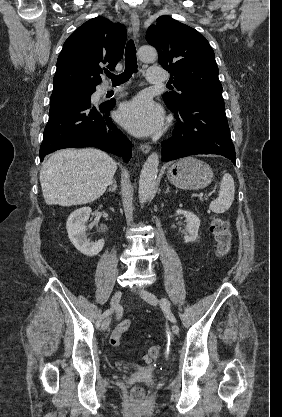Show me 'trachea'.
Listing matches in <instances>:
<instances>
[{"instance_id":"obj_1","label":"trachea","mask_w":282,"mask_h":417,"mask_svg":"<svg viewBox=\"0 0 282 417\" xmlns=\"http://www.w3.org/2000/svg\"><path fill=\"white\" fill-rule=\"evenodd\" d=\"M138 65L136 58V48L133 40H129L125 49V70L119 75L108 73L107 76L112 80V85L117 86L127 82L133 73H137ZM169 86V84L167 85Z\"/></svg>"}]
</instances>
